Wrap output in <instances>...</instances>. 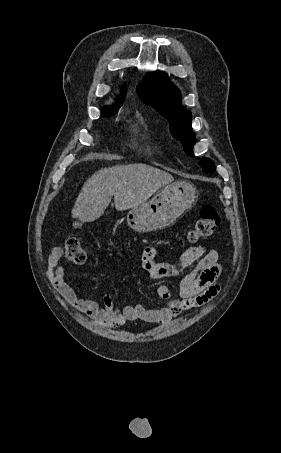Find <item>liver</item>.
Returning a JSON list of instances; mask_svg holds the SVG:
<instances>
[{
  "label": "liver",
  "instance_id": "6515ba94",
  "mask_svg": "<svg viewBox=\"0 0 281 453\" xmlns=\"http://www.w3.org/2000/svg\"><path fill=\"white\" fill-rule=\"evenodd\" d=\"M172 180L169 172L142 162L100 168L84 182L72 208V216L92 222L103 214L112 196L117 210L133 208L146 202L158 188Z\"/></svg>",
  "mask_w": 281,
  "mask_h": 453
}]
</instances>
